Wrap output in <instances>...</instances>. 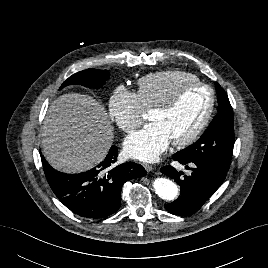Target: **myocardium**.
<instances>
[{"instance_id": "1", "label": "myocardium", "mask_w": 268, "mask_h": 268, "mask_svg": "<svg viewBox=\"0 0 268 268\" xmlns=\"http://www.w3.org/2000/svg\"><path fill=\"white\" fill-rule=\"evenodd\" d=\"M193 87H203L207 89L210 93V100L208 107L200 120V122L197 124V126L194 128V130L187 135L185 138H182L180 140L171 141V143L176 147H186L193 142H195L201 133L204 131L206 126L208 125L210 118L212 116L214 106H215V92L214 90L207 84L201 82V81H194V82H188L184 83L181 86H179L174 93L162 104L154 107L152 111L159 112V113H167L171 111L180 100L183 92L186 90L193 88Z\"/></svg>"}]
</instances>
